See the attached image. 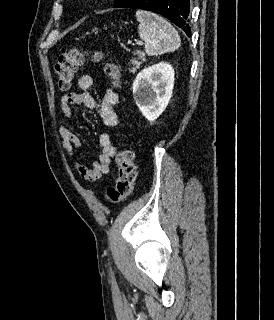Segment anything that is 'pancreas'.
Instances as JSON below:
<instances>
[{
  "mask_svg": "<svg viewBox=\"0 0 274 320\" xmlns=\"http://www.w3.org/2000/svg\"><path fill=\"white\" fill-rule=\"evenodd\" d=\"M133 54L134 56H138V58H132V60H130L131 66H133V68H129V70L130 72H132V74H134V72H137L142 62H146L145 52H140V50H136V52H133Z\"/></svg>",
  "mask_w": 274,
  "mask_h": 320,
  "instance_id": "1",
  "label": "pancreas"
}]
</instances>
